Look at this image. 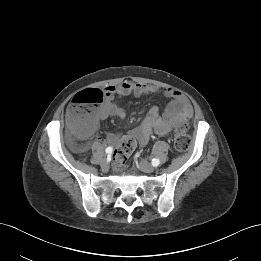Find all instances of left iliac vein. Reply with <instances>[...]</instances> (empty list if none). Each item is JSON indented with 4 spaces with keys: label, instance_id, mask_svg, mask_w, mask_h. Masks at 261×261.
Instances as JSON below:
<instances>
[{
    "label": "left iliac vein",
    "instance_id": "left-iliac-vein-1",
    "mask_svg": "<svg viewBox=\"0 0 261 261\" xmlns=\"http://www.w3.org/2000/svg\"><path fill=\"white\" fill-rule=\"evenodd\" d=\"M138 166L145 173H152L155 170V167L146 160H140Z\"/></svg>",
    "mask_w": 261,
    "mask_h": 261
}]
</instances>
